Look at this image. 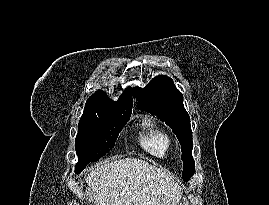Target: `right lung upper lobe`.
<instances>
[{"label": "right lung upper lobe", "mask_w": 269, "mask_h": 205, "mask_svg": "<svg viewBox=\"0 0 269 205\" xmlns=\"http://www.w3.org/2000/svg\"><path fill=\"white\" fill-rule=\"evenodd\" d=\"M132 94L127 88L118 101H112L102 91H97L88 98L82 117H123L131 116Z\"/></svg>", "instance_id": "right-lung-upper-lobe-1"}]
</instances>
